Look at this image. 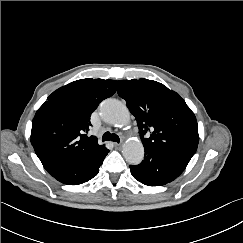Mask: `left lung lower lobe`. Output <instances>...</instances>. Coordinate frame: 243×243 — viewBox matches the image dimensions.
I'll list each match as a JSON object with an SVG mask.
<instances>
[{
	"label": "left lung lower lobe",
	"instance_id": "obj_1",
	"mask_svg": "<svg viewBox=\"0 0 243 243\" xmlns=\"http://www.w3.org/2000/svg\"><path fill=\"white\" fill-rule=\"evenodd\" d=\"M144 149V160L139 165H130V169L136 180L148 186H161L176 179L194 155L148 146Z\"/></svg>",
	"mask_w": 243,
	"mask_h": 243
}]
</instances>
